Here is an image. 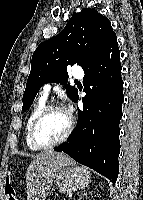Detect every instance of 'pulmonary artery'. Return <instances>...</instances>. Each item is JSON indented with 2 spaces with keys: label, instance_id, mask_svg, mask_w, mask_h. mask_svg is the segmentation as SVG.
I'll return each mask as SVG.
<instances>
[{
  "label": "pulmonary artery",
  "instance_id": "e3ab8cb5",
  "mask_svg": "<svg viewBox=\"0 0 143 200\" xmlns=\"http://www.w3.org/2000/svg\"><path fill=\"white\" fill-rule=\"evenodd\" d=\"M72 76H73L74 78H76V79H82V78L84 77V72H83L82 69L76 68V69L73 70ZM51 88H52V85H51L50 83L45 84V85L43 86V88H42V92H41V93H42V96H44V97L47 98L48 95H49V93H50Z\"/></svg>",
  "mask_w": 143,
  "mask_h": 200
}]
</instances>
